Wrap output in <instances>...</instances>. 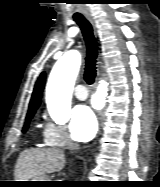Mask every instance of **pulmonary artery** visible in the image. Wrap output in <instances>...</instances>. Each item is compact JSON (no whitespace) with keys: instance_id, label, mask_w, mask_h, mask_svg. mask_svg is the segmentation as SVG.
Returning <instances> with one entry per match:
<instances>
[{"instance_id":"e3ab8cb5","label":"pulmonary artery","mask_w":160,"mask_h":187,"mask_svg":"<svg viewBox=\"0 0 160 187\" xmlns=\"http://www.w3.org/2000/svg\"><path fill=\"white\" fill-rule=\"evenodd\" d=\"M74 94L78 100H85L88 96L86 88L82 84L76 86Z\"/></svg>"}]
</instances>
